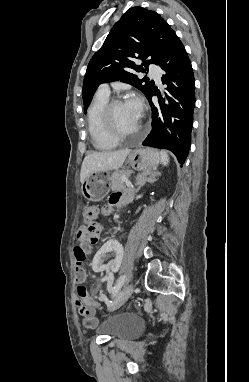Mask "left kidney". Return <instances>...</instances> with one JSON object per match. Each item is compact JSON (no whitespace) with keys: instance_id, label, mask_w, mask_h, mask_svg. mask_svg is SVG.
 <instances>
[{"instance_id":"obj_1","label":"left kidney","mask_w":249,"mask_h":382,"mask_svg":"<svg viewBox=\"0 0 249 382\" xmlns=\"http://www.w3.org/2000/svg\"><path fill=\"white\" fill-rule=\"evenodd\" d=\"M155 202H161V197H155ZM126 245H119L115 237H110L107 245H103L100 251L91 261L92 271L95 273H106L104 282L109 286L115 282V272L122 266L123 258L126 255ZM110 262H105V261Z\"/></svg>"}]
</instances>
